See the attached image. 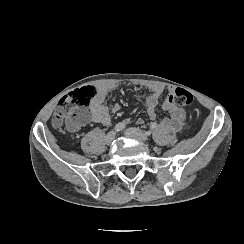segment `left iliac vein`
I'll list each match as a JSON object with an SVG mask.
<instances>
[{
    "instance_id": "obj_1",
    "label": "left iliac vein",
    "mask_w": 244,
    "mask_h": 244,
    "mask_svg": "<svg viewBox=\"0 0 244 244\" xmlns=\"http://www.w3.org/2000/svg\"><path fill=\"white\" fill-rule=\"evenodd\" d=\"M125 135L130 137V138H134V139H138L141 142H147L148 137L147 135L141 131L138 128H128L125 130Z\"/></svg>"
}]
</instances>
